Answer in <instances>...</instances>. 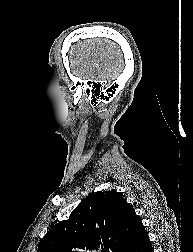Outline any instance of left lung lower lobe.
Returning <instances> with one entry per match:
<instances>
[{"instance_id": "obj_1", "label": "left lung lower lobe", "mask_w": 193, "mask_h": 252, "mask_svg": "<svg viewBox=\"0 0 193 252\" xmlns=\"http://www.w3.org/2000/svg\"><path fill=\"white\" fill-rule=\"evenodd\" d=\"M125 252H153L151 241L142 222L136 226Z\"/></svg>"}]
</instances>
